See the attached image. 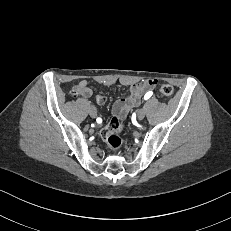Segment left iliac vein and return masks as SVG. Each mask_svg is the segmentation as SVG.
<instances>
[{"mask_svg":"<svg viewBox=\"0 0 231 231\" xmlns=\"http://www.w3.org/2000/svg\"><path fill=\"white\" fill-rule=\"evenodd\" d=\"M145 117V111L143 109H140L138 112H137V119L138 120H143Z\"/></svg>","mask_w":231,"mask_h":231,"instance_id":"left-iliac-vein-1","label":"left iliac vein"}]
</instances>
